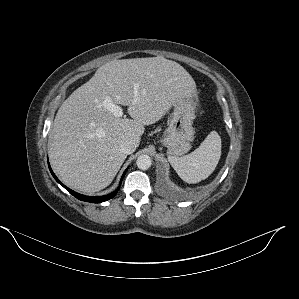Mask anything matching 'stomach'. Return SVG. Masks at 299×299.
<instances>
[{"label":"stomach","mask_w":299,"mask_h":299,"mask_svg":"<svg viewBox=\"0 0 299 299\" xmlns=\"http://www.w3.org/2000/svg\"><path fill=\"white\" fill-rule=\"evenodd\" d=\"M196 102L192 97H183L176 101L171 120L161 140L167 148V154L172 157L181 156L191 148L194 139Z\"/></svg>","instance_id":"obj_1"}]
</instances>
